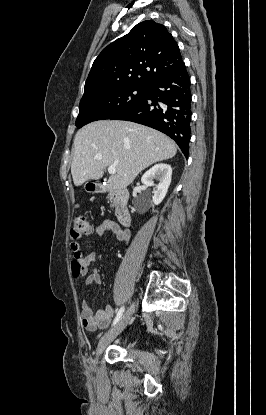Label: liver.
Instances as JSON below:
<instances>
[{
    "instance_id": "liver-1",
    "label": "liver",
    "mask_w": 266,
    "mask_h": 415,
    "mask_svg": "<svg viewBox=\"0 0 266 415\" xmlns=\"http://www.w3.org/2000/svg\"><path fill=\"white\" fill-rule=\"evenodd\" d=\"M174 141L155 129L129 121L99 120L79 129L74 138L71 174L75 186L102 178L106 167L116 174L107 187L121 190L150 165L176 155Z\"/></svg>"
}]
</instances>
